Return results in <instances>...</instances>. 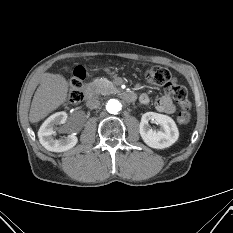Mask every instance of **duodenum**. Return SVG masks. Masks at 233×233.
Wrapping results in <instances>:
<instances>
[{
	"mask_svg": "<svg viewBox=\"0 0 233 233\" xmlns=\"http://www.w3.org/2000/svg\"><path fill=\"white\" fill-rule=\"evenodd\" d=\"M84 97L88 100L94 97L95 91L94 88L90 85L86 86L83 90ZM124 99L128 102H134L137 99V95L133 92L124 93Z\"/></svg>",
	"mask_w": 233,
	"mask_h": 233,
	"instance_id": "410a0bca",
	"label": "duodenum"
}]
</instances>
